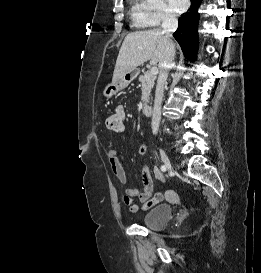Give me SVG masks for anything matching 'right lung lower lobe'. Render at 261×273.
<instances>
[{
  "label": "right lung lower lobe",
  "mask_w": 261,
  "mask_h": 273,
  "mask_svg": "<svg viewBox=\"0 0 261 273\" xmlns=\"http://www.w3.org/2000/svg\"><path fill=\"white\" fill-rule=\"evenodd\" d=\"M191 1V8L179 18V26L173 33V36L180 44L184 56L189 60H194L198 47L197 25L199 14L197 8L199 7L201 0Z\"/></svg>",
  "instance_id": "right-lung-lower-lobe-1"
}]
</instances>
